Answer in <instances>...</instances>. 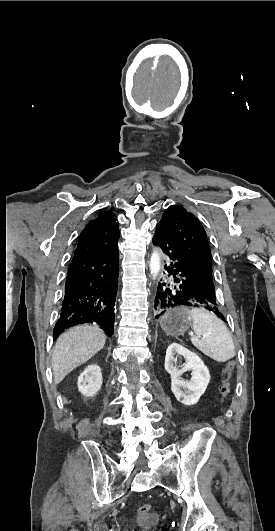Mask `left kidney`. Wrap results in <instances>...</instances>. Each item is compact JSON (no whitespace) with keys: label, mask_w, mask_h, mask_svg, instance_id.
Listing matches in <instances>:
<instances>
[{"label":"left kidney","mask_w":275,"mask_h":531,"mask_svg":"<svg viewBox=\"0 0 275 531\" xmlns=\"http://www.w3.org/2000/svg\"><path fill=\"white\" fill-rule=\"evenodd\" d=\"M176 353L183 355L187 361L182 369L173 367ZM165 369L171 375V391L177 401L183 405H196L201 395L205 393L210 381V373L200 357L182 345L172 343L166 351ZM185 371H192L191 381H181L180 375ZM182 389H186V391H182Z\"/></svg>","instance_id":"obj_1"}]
</instances>
